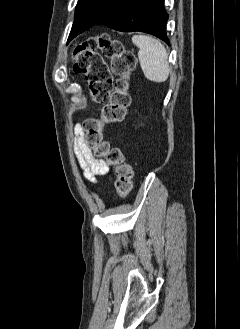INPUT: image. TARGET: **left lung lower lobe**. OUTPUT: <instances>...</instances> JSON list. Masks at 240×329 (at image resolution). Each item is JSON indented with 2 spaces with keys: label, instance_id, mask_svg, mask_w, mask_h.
<instances>
[{
  "label": "left lung lower lobe",
  "instance_id": "1",
  "mask_svg": "<svg viewBox=\"0 0 240 329\" xmlns=\"http://www.w3.org/2000/svg\"><path fill=\"white\" fill-rule=\"evenodd\" d=\"M168 18L164 0H120L95 25L102 24L123 32L149 33L169 44L166 34Z\"/></svg>",
  "mask_w": 240,
  "mask_h": 329
}]
</instances>
